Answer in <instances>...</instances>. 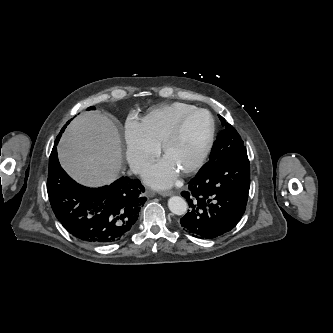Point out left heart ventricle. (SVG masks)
<instances>
[{
    "label": "left heart ventricle",
    "mask_w": 333,
    "mask_h": 333,
    "mask_svg": "<svg viewBox=\"0 0 333 333\" xmlns=\"http://www.w3.org/2000/svg\"><path fill=\"white\" fill-rule=\"evenodd\" d=\"M210 128L206 113H197L185 123L178 141L168 150L165 159L181 171L192 164L199 155Z\"/></svg>",
    "instance_id": "1"
}]
</instances>
